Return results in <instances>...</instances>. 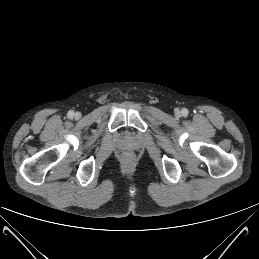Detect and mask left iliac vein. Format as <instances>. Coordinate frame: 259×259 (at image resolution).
Masks as SVG:
<instances>
[{
    "instance_id": "obj_1",
    "label": "left iliac vein",
    "mask_w": 259,
    "mask_h": 259,
    "mask_svg": "<svg viewBox=\"0 0 259 259\" xmlns=\"http://www.w3.org/2000/svg\"><path fill=\"white\" fill-rule=\"evenodd\" d=\"M175 115H176L177 117H180V116H181V112H180L179 109H176V110H175Z\"/></svg>"
}]
</instances>
